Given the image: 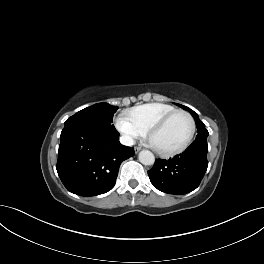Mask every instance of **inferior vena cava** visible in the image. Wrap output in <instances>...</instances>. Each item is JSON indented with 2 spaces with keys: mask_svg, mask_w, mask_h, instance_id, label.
Wrapping results in <instances>:
<instances>
[{
  "mask_svg": "<svg viewBox=\"0 0 264 264\" xmlns=\"http://www.w3.org/2000/svg\"><path fill=\"white\" fill-rule=\"evenodd\" d=\"M120 143L125 146H132L134 145V140L130 136L123 135L120 137Z\"/></svg>",
  "mask_w": 264,
  "mask_h": 264,
  "instance_id": "obj_1",
  "label": "inferior vena cava"
}]
</instances>
